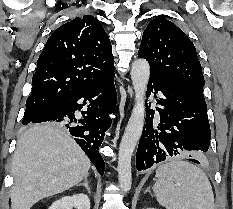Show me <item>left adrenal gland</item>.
<instances>
[{"instance_id":"a2214340","label":"left adrenal gland","mask_w":233,"mask_h":209,"mask_svg":"<svg viewBox=\"0 0 233 209\" xmlns=\"http://www.w3.org/2000/svg\"><path fill=\"white\" fill-rule=\"evenodd\" d=\"M146 192L151 193V191H150V187H148V188L145 190V192H144V193H146Z\"/></svg>"}]
</instances>
